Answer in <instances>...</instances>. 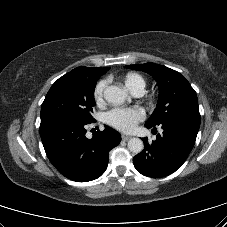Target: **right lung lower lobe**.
Here are the masks:
<instances>
[{
    "instance_id": "1",
    "label": "right lung lower lobe",
    "mask_w": 227,
    "mask_h": 227,
    "mask_svg": "<svg viewBox=\"0 0 227 227\" xmlns=\"http://www.w3.org/2000/svg\"><path fill=\"white\" fill-rule=\"evenodd\" d=\"M85 125L52 118L41 121L39 129L50 162L62 175L77 182L100 177L107 169L109 151L121 141L120 134L109 126L88 139Z\"/></svg>"
}]
</instances>
